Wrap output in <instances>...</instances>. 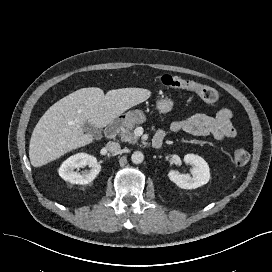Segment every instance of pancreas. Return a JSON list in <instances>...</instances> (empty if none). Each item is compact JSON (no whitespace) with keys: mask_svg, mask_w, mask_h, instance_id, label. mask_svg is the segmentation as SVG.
I'll list each match as a JSON object with an SVG mask.
<instances>
[{"mask_svg":"<svg viewBox=\"0 0 272 272\" xmlns=\"http://www.w3.org/2000/svg\"><path fill=\"white\" fill-rule=\"evenodd\" d=\"M135 125L130 124L120 132L121 141L135 144L138 137L134 135L133 129Z\"/></svg>","mask_w":272,"mask_h":272,"instance_id":"obj_1","label":"pancreas"}]
</instances>
